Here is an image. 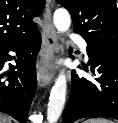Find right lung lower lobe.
Instances as JSON below:
<instances>
[{"mask_svg": "<svg viewBox=\"0 0 118 123\" xmlns=\"http://www.w3.org/2000/svg\"><path fill=\"white\" fill-rule=\"evenodd\" d=\"M40 46L41 35L37 32L25 41L0 47V111L21 123L27 122L37 86L36 53ZM10 51L16 52L18 58L16 66L10 64V70L5 72V62L13 59Z\"/></svg>", "mask_w": 118, "mask_h": 123, "instance_id": "98d812e1", "label": "right lung lower lobe"}]
</instances>
